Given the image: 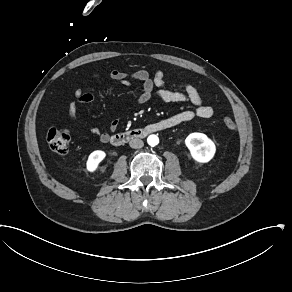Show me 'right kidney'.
Returning a JSON list of instances; mask_svg holds the SVG:
<instances>
[{"label": "right kidney", "mask_w": 292, "mask_h": 292, "mask_svg": "<svg viewBox=\"0 0 292 292\" xmlns=\"http://www.w3.org/2000/svg\"><path fill=\"white\" fill-rule=\"evenodd\" d=\"M106 152L102 150H96L90 153L86 161V170L93 173L97 170L99 164L105 159Z\"/></svg>", "instance_id": "obj_1"}]
</instances>
